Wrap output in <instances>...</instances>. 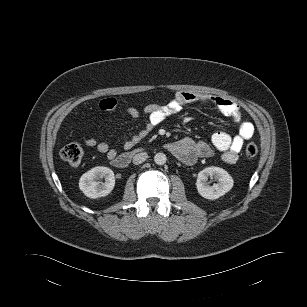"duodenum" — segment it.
Returning <instances> with one entry per match:
<instances>
[{
    "mask_svg": "<svg viewBox=\"0 0 307 307\" xmlns=\"http://www.w3.org/2000/svg\"><path fill=\"white\" fill-rule=\"evenodd\" d=\"M137 153L136 150L124 152L117 156V158L113 161V165L117 168H125L127 167L132 157Z\"/></svg>",
    "mask_w": 307,
    "mask_h": 307,
    "instance_id": "410a0bca",
    "label": "duodenum"
}]
</instances>
